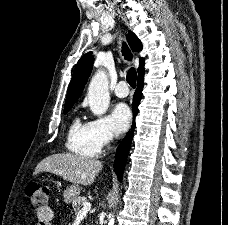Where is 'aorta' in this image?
Segmentation results:
<instances>
[{
	"mask_svg": "<svg viewBox=\"0 0 228 225\" xmlns=\"http://www.w3.org/2000/svg\"><path fill=\"white\" fill-rule=\"evenodd\" d=\"M87 96L93 115H97V117L105 115L110 102L109 82L105 70H97L94 76H92L88 86ZM108 217V225H114L115 219L113 213H110Z\"/></svg>",
	"mask_w": 228,
	"mask_h": 225,
	"instance_id": "1",
	"label": "aorta"
}]
</instances>
